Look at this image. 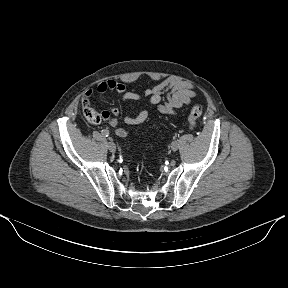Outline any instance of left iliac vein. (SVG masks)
I'll list each match as a JSON object with an SVG mask.
<instances>
[{
  "label": "left iliac vein",
  "mask_w": 288,
  "mask_h": 288,
  "mask_svg": "<svg viewBox=\"0 0 288 288\" xmlns=\"http://www.w3.org/2000/svg\"><path fill=\"white\" fill-rule=\"evenodd\" d=\"M178 147H179V144H178L177 141L171 143V149H172L173 151H177Z\"/></svg>",
  "instance_id": "obj_1"
}]
</instances>
